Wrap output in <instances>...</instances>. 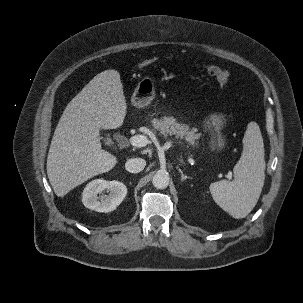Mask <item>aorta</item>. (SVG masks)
Listing matches in <instances>:
<instances>
[{
  "label": "aorta",
  "instance_id": "1",
  "mask_svg": "<svg viewBox=\"0 0 303 303\" xmlns=\"http://www.w3.org/2000/svg\"><path fill=\"white\" fill-rule=\"evenodd\" d=\"M154 187L157 189H165L169 185V175L167 172H157L152 179Z\"/></svg>",
  "mask_w": 303,
  "mask_h": 303
}]
</instances>
